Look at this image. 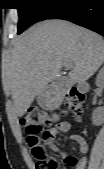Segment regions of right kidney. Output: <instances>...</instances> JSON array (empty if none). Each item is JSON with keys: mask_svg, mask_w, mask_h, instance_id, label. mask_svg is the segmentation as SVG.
<instances>
[{"mask_svg": "<svg viewBox=\"0 0 104 169\" xmlns=\"http://www.w3.org/2000/svg\"><path fill=\"white\" fill-rule=\"evenodd\" d=\"M96 85L103 86L104 85V69H101L96 78ZM104 121V112L103 110L96 109L92 114V122L94 125L99 126Z\"/></svg>", "mask_w": 104, "mask_h": 169, "instance_id": "ca27d5eb", "label": "right kidney"}]
</instances>
